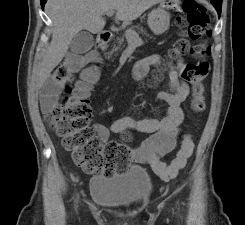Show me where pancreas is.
<instances>
[{"label":"pancreas","instance_id":"pancreas-1","mask_svg":"<svg viewBox=\"0 0 245 225\" xmlns=\"http://www.w3.org/2000/svg\"><path fill=\"white\" fill-rule=\"evenodd\" d=\"M141 32L143 31L142 28H138ZM125 47L124 44V36L123 37H117V45H114L112 50L107 53L108 59L112 56V54L116 53L117 51H121Z\"/></svg>","mask_w":245,"mask_h":225}]
</instances>
